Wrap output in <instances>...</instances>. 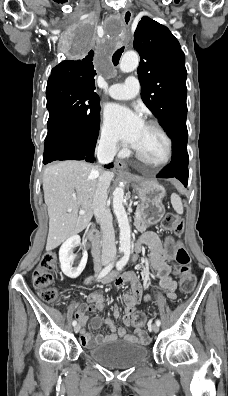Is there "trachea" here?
Masks as SVG:
<instances>
[{
  "mask_svg": "<svg viewBox=\"0 0 228 396\" xmlns=\"http://www.w3.org/2000/svg\"><path fill=\"white\" fill-rule=\"evenodd\" d=\"M124 52V46L119 48L117 51H115V53L112 56V62L115 66L118 65L119 60L121 58L122 53Z\"/></svg>",
  "mask_w": 228,
  "mask_h": 396,
  "instance_id": "trachea-1",
  "label": "trachea"
}]
</instances>
